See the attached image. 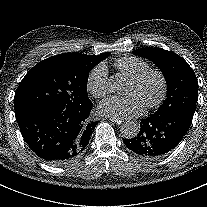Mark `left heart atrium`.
Instances as JSON below:
<instances>
[{"instance_id":"39dd6f15","label":"left heart atrium","mask_w":207,"mask_h":207,"mask_svg":"<svg viewBox=\"0 0 207 207\" xmlns=\"http://www.w3.org/2000/svg\"><path fill=\"white\" fill-rule=\"evenodd\" d=\"M145 107L136 95L125 97L110 96L104 99L99 110L102 114L115 119H130L141 115Z\"/></svg>"}]
</instances>
